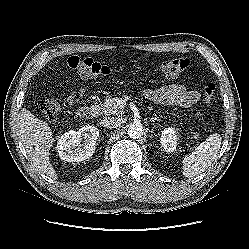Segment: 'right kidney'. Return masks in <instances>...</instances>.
<instances>
[{"label":"right kidney","instance_id":"right-kidney-1","mask_svg":"<svg viewBox=\"0 0 249 249\" xmlns=\"http://www.w3.org/2000/svg\"><path fill=\"white\" fill-rule=\"evenodd\" d=\"M98 137L99 130L92 125H86L78 131L71 130L64 133L57 142L59 157L66 162H81L89 159L95 152Z\"/></svg>","mask_w":249,"mask_h":249}]
</instances>
